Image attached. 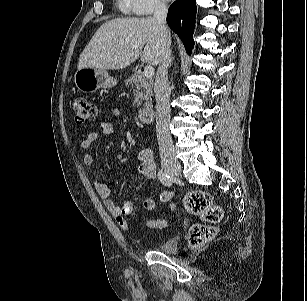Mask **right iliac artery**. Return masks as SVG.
Segmentation results:
<instances>
[{"mask_svg":"<svg viewBox=\"0 0 307 301\" xmlns=\"http://www.w3.org/2000/svg\"><path fill=\"white\" fill-rule=\"evenodd\" d=\"M159 180L162 182V184L166 186H171L173 183V179L166 173V171L161 168L158 172Z\"/></svg>","mask_w":307,"mask_h":301,"instance_id":"right-iliac-artery-1","label":"right iliac artery"}]
</instances>
